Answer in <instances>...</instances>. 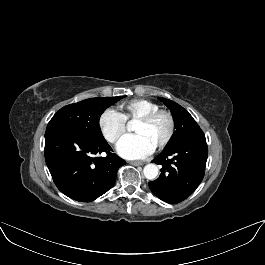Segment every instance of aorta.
Here are the masks:
<instances>
[{
	"mask_svg": "<svg viewBox=\"0 0 265 265\" xmlns=\"http://www.w3.org/2000/svg\"><path fill=\"white\" fill-rule=\"evenodd\" d=\"M158 172L159 170L157 165L152 163L147 164L143 169L144 176L149 180L155 179L158 176Z\"/></svg>",
	"mask_w": 265,
	"mask_h": 265,
	"instance_id": "aorta-1",
	"label": "aorta"
}]
</instances>
